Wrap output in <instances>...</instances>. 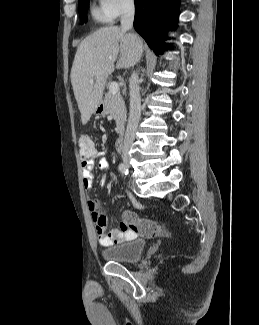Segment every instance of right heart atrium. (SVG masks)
<instances>
[{"mask_svg": "<svg viewBox=\"0 0 259 325\" xmlns=\"http://www.w3.org/2000/svg\"><path fill=\"white\" fill-rule=\"evenodd\" d=\"M99 10L107 20H114L130 10L134 0H98Z\"/></svg>", "mask_w": 259, "mask_h": 325, "instance_id": "obj_1", "label": "right heart atrium"}]
</instances>
